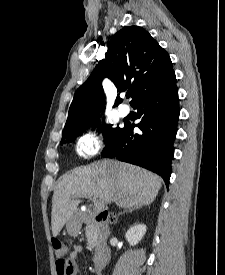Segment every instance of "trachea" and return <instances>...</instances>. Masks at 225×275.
I'll return each instance as SVG.
<instances>
[{"mask_svg":"<svg viewBox=\"0 0 225 275\" xmlns=\"http://www.w3.org/2000/svg\"><path fill=\"white\" fill-rule=\"evenodd\" d=\"M131 96V94H126V97L129 98Z\"/></svg>","mask_w":225,"mask_h":275,"instance_id":"1","label":"trachea"}]
</instances>
